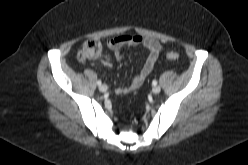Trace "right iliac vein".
Listing matches in <instances>:
<instances>
[{
    "label": "right iliac vein",
    "mask_w": 248,
    "mask_h": 165,
    "mask_svg": "<svg viewBox=\"0 0 248 165\" xmlns=\"http://www.w3.org/2000/svg\"><path fill=\"white\" fill-rule=\"evenodd\" d=\"M99 91L100 92H106L107 91V86L106 85H100L99 86Z\"/></svg>",
    "instance_id": "1"
}]
</instances>
